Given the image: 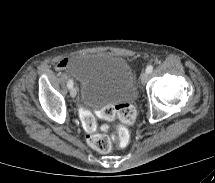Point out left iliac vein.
I'll return each mask as SVG.
<instances>
[{
  "instance_id": "obj_1",
  "label": "left iliac vein",
  "mask_w": 215,
  "mask_h": 183,
  "mask_svg": "<svg viewBox=\"0 0 215 183\" xmlns=\"http://www.w3.org/2000/svg\"><path fill=\"white\" fill-rule=\"evenodd\" d=\"M148 78H149V73L148 72H144L142 74V76H141V82H142V84H145L147 82Z\"/></svg>"
}]
</instances>
